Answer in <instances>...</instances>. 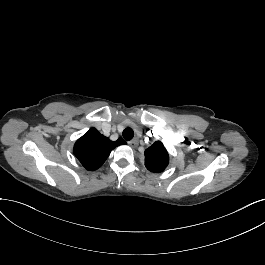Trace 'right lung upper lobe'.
Returning <instances> with one entry per match:
<instances>
[{
	"mask_svg": "<svg viewBox=\"0 0 265 265\" xmlns=\"http://www.w3.org/2000/svg\"><path fill=\"white\" fill-rule=\"evenodd\" d=\"M121 144H125L122 138L111 141L92 128L76 141L74 154L87 170H95L105 162L111 151Z\"/></svg>",
	"mask_w": 265,
	"mask_h": 265,
	"instance_id": "right-lung-upper-lobe-1",
	"label": "right lung upper lobe"
}]
</instances>
